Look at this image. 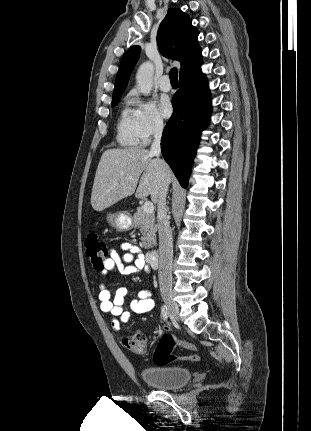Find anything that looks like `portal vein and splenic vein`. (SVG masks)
Here are the masks:
<instances>
[{
  "mask_svg": "<svg viewBox=\"0 0 311 431\" xmlns=\"http://www.w3.org/2000/svg\"><path fill=\"white\" fill-rule=\"evenodd\" d=\"M142 208H143V212H146V214H153L154 212V206L152 202H145Z\"/></svg>",
  "mask_w": 311,
  "mask_h": 431,
  "instance_id": "obj_1",
  "label": "portal vein and splenic vein"
}]
</instances>
